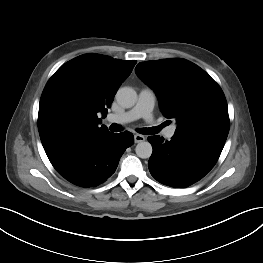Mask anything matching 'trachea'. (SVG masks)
<instances>
[{
	"label": "trachea",
	"instance_id": "trachea-1",
	"mask_svg": "<svg viewBox=\"0 0 263 263\" xmlns=\"http://www.w3.org/2000/svg\"><path fill=\"white\" fill-rule=\"evenodd\" d=\"M110 130L114 132H119V131H122V127L116 123H113L110 126ZM159 130H160V127H152V128H141V129H138L137 131L144 135H153V134L158 133Z\"/></svg>",
	"mask_w": 263,
	"mask_h": 263
}]
</instances>
